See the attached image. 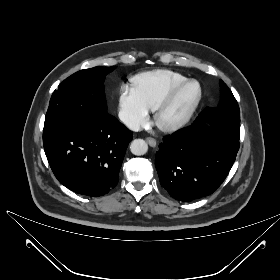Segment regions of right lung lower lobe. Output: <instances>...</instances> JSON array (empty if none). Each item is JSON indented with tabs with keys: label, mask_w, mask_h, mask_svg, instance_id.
I'll use <instances>...</instances> for the list:
<instances>
[{
	"label": "right lung lower lobe",
	"mask_w": 280,
	"mask_h": 280,
	"mask_svg": "<svg viewBox=\"0 0 280 280\" xmlns=\"http://www.w3.org/2000/svg\"><path fill=\"white\" fill-rule=\"evenodd\" d=\"M132 137L112 115H66L44 124L43 145L61 184L78 194L99 197L117 185Z\"/></svg>",
	"instance_id": "obj_1"
}]
</instances>
